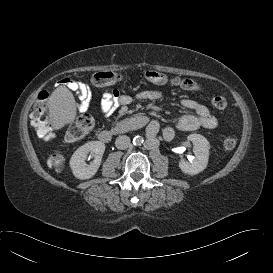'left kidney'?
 Instances as JSON below:
<instances>
[{
    "instance_id": "5707ae66",
    "label": "left kidney",
    "mask_w": 273,
    "mask_h": 273,
    "mask_svg": "<svg viewBox=\"0 0 273 273\" xmlns=\"http://www.w3.org/2000/svg\"><path fill=\"white\" fill-rule=\"evenodd\" d=\"M187 139L194 145L193 152L195 157L189 162L181 159L179 167L183 173L195 175L207 167L210 144L208 140L200 134H190Z\"/></svg>"
}]
</instances>
